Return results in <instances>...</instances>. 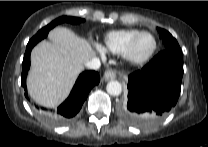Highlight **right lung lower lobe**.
Masks as SVG:
<instances>
[{
	"label": "right lung lower lobe",
	"mask_w": 208,
	"mask_h": 147,
	"mask_svg": "<svg viewBox=\"0 0 208 147\" xmlns=\"http://www.w3.org/2000/svg\"><path fill=\"white\" fill-rule=\"evenodd\" d=\"M47 35L33 37L27 44L22 62L21 84L25 89L27 97L26 76L30 68V53L32 48ZM100 76L95 71H85L77 79L69 97L53 113L43 114L47 120L54 124H65L69 122L81 109L87 99L89 91L99 83Z\"/></svg>",
	"instance_id": "1"
}]
</instances>
